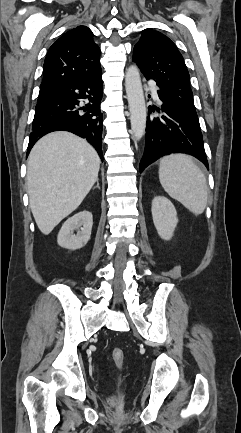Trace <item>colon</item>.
I'll return each instance as SVG.
<instances>
[{
	"instance_id": "1",
	"label": "colon",
	"mask_w": 241,
	"mask_h": 433,
	"mask_svg": "<svg viewBox=\"0 0 241 433\" xmlns=\"http://www.w3.org/2000/svg\"><path fill=\"white\" fill-rule=\"evenodd\" d=\"M112 358L117 365L118 368H122L124 363V352L120 348H114L112 350ZM119 384H121V380L119 381Z\"/></svg>"
}]
</instances>
